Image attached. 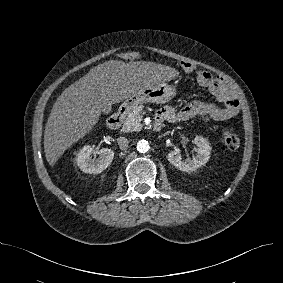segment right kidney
I'll return each mask as SVG.
<instances>
[{
    "mask_svg": "<svg viewBox=\"0 0 283 283\" xmlns=\"http://www.w3.org/2000/svg\"><path fill=\"white\" fill-rule=\"evenodd\" d=\"M97 154L98 158H96ZM113 158L114 152L111 149L102 148L94 151L91 146L87 145L77 153L76 163L83 172L98 174L111 164Z\"/></svg>",
    "mask_w": 283,
    "mask_h": 283,
    "instance_id": "right-kidney-1",
    "label": "right kidney"
}]
</instances>
